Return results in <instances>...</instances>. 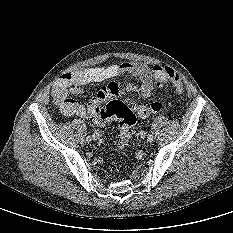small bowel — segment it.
<instances>
[{"mask_svg":"<svg viewBox=\"0 0 233 233\" xmlns=\"http://www.w3.org/2000/svg\"><path fill=\"white\" fill-rule=\"evenodd\" d=\"M123 74L134 76L139 84L127 83L125 86H120L115 82H110L90 100L87 107L70 97V95L81 94L90 85L102 83ZM152 90L153 73L148 66L137 62L122 61L64 74L53 87L52 97L54 104L64 115L92 119L90 110L94 105L101 106L120 94L137 93L142 98H148ZM94 122L103 124L105 121Z\"/></svg>","mask_w":233,"mask_h":233,"instance_id":"1","label":"small bowel"}]
</instances>
